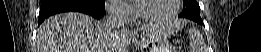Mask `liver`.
I'll return each instance as SVG.
<instances>
[{
    "label": "liver",
    "instance_id": "1",
    "mask_svg": "<svg viewBox=\"0 0 261 52\" xmlns=\"http://www.w3.org/2000/svg\"><path fill=\"white\" fill-rule=\"evenodd\" d=\"M145 26L139 29L147 32ZM155 29V28H154ZM157 33H171L161 28ZM115 35H107L104 23L81 13H63L46 19L37 31L35 52H125Z\"/></svg>",
    "mask_w": 261,
    "mask_h": 52
}]
</instances>
